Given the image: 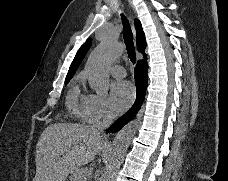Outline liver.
I'll return each mask as SVG.
<instances>
[{
  "mask_svg": "<svg viewBox=\"0 0 228 181\" xmlns=\"http://www.w3.org/2000/svg\"><path fill=\"white\" fill-rule=\"evenodd\" d=\"M106 143L89 125H49L36 145L33 181H66L76 165L91 163Z\"/></svg>",
  "mask_w": 228,
  "mask_h": 181,
  "instance_id": "1",
  "label": "liver"
}]
</instances>
